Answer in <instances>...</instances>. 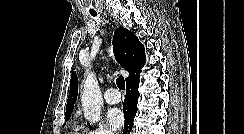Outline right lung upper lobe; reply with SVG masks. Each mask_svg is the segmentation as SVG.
Instances as JSON below:
<instances>
[{
	"label": "right lung upper lobe",
	"mask_w": 244,
	"mask_h": 134,
	"mask_svg": "<svg viewBox=\"0 0 244 134\" xmlns=\"http://www.w3.org/2000/svg\"><path fill=\"white\" fill-rule=\"evenodd\" d=\"M113 48L117 62L129 72L126 83L138 78L141 68L145 63L144 46L129 30L119 27L113 37ZM78 94V79L73 72L70 81V92L66 105V114L71 115Z\"/></svg>",
	"instance_id": "right-lung-upper-lobe-1"
}]
</instances>
